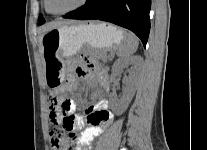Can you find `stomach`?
Instances as JSON below:
<instances>
[{
  "label": "stomach",
  "mask_w": 207,
  "mask_h": 150,
  "mask_svg": "<svg viewBox=\"0 0 207 150\" xmlns=\"http://www.w3.org/2000/svg\"><path fill=\"white\" fill-rule=\"evenodd\" d=\"M124 41L122 29L103 22H75L49 30L41 44L48 85L56 87L64 82V59H72L84 45L92 56L100 59L107 52H114Z\"/></svg>",
  "instance_id": "0dacf381"
}]
</instances>
